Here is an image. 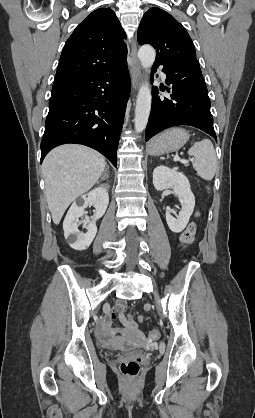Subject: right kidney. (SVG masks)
Instances as JSON below:
<instances>
[{
  "instance_id": "obj_1",
  "label": "right kidney",
  "mask_w": 255,
  "mask_h": 418,
  "mask_svg": "<svg viewBox=\"0 0 255 418\" xmlns=\"http://www.w3.org/2000/svg\"><path fill=\"white\" fill-rule=\"evenodd\" d=\"M108 204L109 195L104 187L95 188L74 201L63 222L64 236L70 247L81 251L90 246L97 233L96 221L104 215ZM88 205L95 207L94 218L92 221H80ZM80 224L87 229L86 233L79 231Z\"/></svg>"
}]
</instances>
